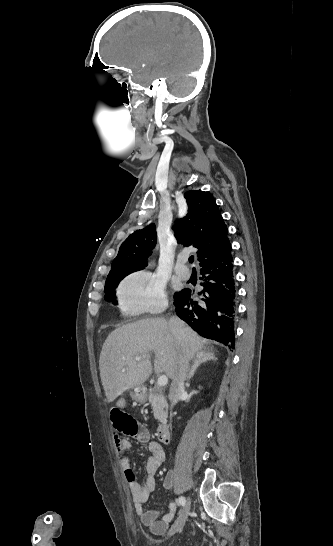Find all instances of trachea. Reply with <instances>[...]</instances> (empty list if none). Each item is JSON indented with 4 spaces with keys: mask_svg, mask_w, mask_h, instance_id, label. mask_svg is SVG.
Instances as JSON below:
<instances>
[{
    "mask_svg": "<svg viewBox=\"0 0 333 546\" xmlns=\"http://www.w3.org/2000/svg\"><path fill=\"white\" fill-rule=\"evenodd\" d=\"M193 261H194V257H193V256H190V257H189V262H190V263H193Z\"/></svg>",
    "mask_w": 333,
    "mask_h": 546,
    "instance_id": "obj_1",
    "label": "trachea"
}]
</instances>
